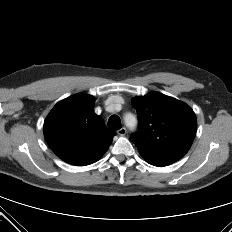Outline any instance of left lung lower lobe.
<instances>
[{"instance_id":"left-lung-lower-lobe-1","label":"left lung lower lobe","mask_w":232,"mask_h":232,"mask_svg":"<svg viewBox=\"0 0 232 232\" xmlns=\"http://www.w3.org/2000/svg\"><path fill=\"white\" fill-rule=\"evenodd\" d=\"M150 164H152V165H154V166L163 167V166L170 165V164H172V163H167V164H156V163H150Z\"/></svg>"}]
</instances>
